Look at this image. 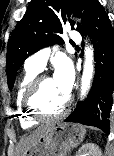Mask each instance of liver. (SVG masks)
Listing matches in <instances>:
<instances>
[{
	"label": "liver",
	"instance_id": "1",
	"mask_svg": "<svg viewBox=\"0 0 114 156\" xmlns=\"http://www.w3.org/2000/svg\"><path fill=\"white\" fill-rule=\"evenodd\" d=\"M50 127L51 125H41L29 135L22 137L16 147V156H26L27 151L31 148L33 143H35Z\"/></svg>",
	"mask_w": 114,
	"mask_h": 156
}]
</instances>
